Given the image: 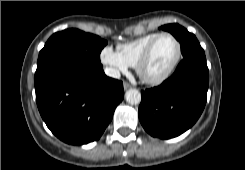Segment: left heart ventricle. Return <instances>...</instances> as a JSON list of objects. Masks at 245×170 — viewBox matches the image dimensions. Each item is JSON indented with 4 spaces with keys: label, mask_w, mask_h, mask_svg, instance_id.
Masks as SVG:
<instances>
[{
    "label": "left heart ventricle",
    "mask_w": 245,
    "mask_h": 170,
    "mask_svg": "<svg viewBox=\"0 0 245 170\" xmlns=\"http://www.w3.org/2000/svg\"><path fill=\"white\" fill-rule=\"evenodd\" d=\"M176 54V44L170 37H162L144 65L146 75L155 77L162 74L172 63Z\"/></svg>",
    "instance_id": "b2bd125f"
}]
</instances>
